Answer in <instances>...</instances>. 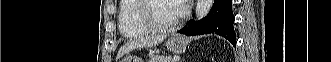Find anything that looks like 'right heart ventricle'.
<instances>
[{"mask_svg": "<svg viewBox=\"0 0 331 62\" xmlns=\"http://www.w3.org/2000/svg\"><path fill=\"white\" fill-rule=\"evenodd\" d=\"M140 0H121L119 3L118 27L127 39L140 38L148 33L137 20Z\"/></svg>", "mask_w": 331, "mask_h": 62, "instance_id": "obj_1", "label": "right heart ventricle"}]
</instances>
